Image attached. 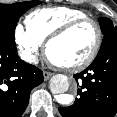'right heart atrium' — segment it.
Masks as SVG:
<instances>
[{
	"label": "right heart atrium",
	"mask_w": 117,
	"mask_h": 117,
	"mask_svg": "<svg viewBox=\"0 0 117 117\" xmlns=\"http://www.w3.org/2000/svg\"><path fill=\"white\" fill-rule=\"evenodd\" d=\"M14 40L21 57L26 62L31 64L37 62L42 43L24 29L21 24H17L14 28Z\"/></svg>",
	"instance_id": "right-heart-atrium-1"
}]
</instances>
